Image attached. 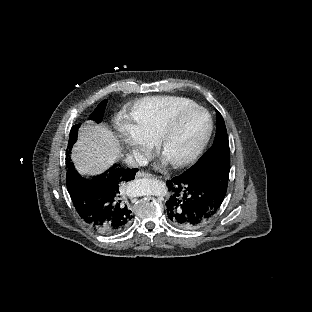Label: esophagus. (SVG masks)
I'll return each instance as SVG.
<instances>
[{
    "mask_svg": "<svg viewBox=\"0 0 312 312\" xmlns=\"http://www.w3.org/2000/svg\"><path fill=\"white\" fill-rule=\"evenodd\" d=\"M155 178L154 175H152L151 173H148V172H144V171H139L137 174H136V178Z\"/></svg>",
    "mask_w": 312,
    "mask_h": 312,
    "instance_id": "1",
    "label": "esophagus"
}]
</instances>
